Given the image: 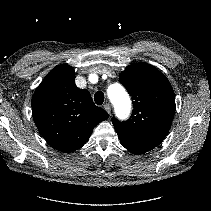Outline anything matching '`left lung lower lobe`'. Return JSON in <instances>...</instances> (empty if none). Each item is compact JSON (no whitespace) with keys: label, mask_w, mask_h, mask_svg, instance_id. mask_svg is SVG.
Segmentation results:
<instances>
[{"label":"left lung lower lobe","mask_w":211,"mask_h":211,"mask_svg":"<svg viewBox=\"0 0 211 211\" xmlns=\"http://www.w3.org/2000/svg\"><path fill=\"white\" fill-rule=\"evenodd\" d=\"M121 144L130 152L134 153V154H143L146 153L150 150H152L153 148H148V147H138V146H132V145H128V144H124L121 142Z\"/></svg>","instance_id":"0a47b994"}]
</instances>
